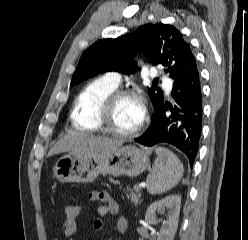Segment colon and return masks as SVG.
<instances>
[{
  "label": "colon",
  "mask_w": 248,
  "mask_h": 240,
  "mask_svg": "<svg viewBox=\"0 0 248 240\" xmlns=\"http://www.w3.org/2000/svg\"><path fill=\"white\" fill-rule=\"evenodd\" d=\"M81 210L80 205L76 203L66 204L63 208L65 219L76 218Z\"/></svg>",
  "instance_id": "colon-1"
}]
</instances>
